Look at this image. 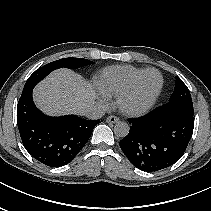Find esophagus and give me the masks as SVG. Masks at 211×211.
<instances>
[{
	"label": "esophagus",
	"instance_id": "1",
	"mask_svg": "<svg viewBox=\"0 0 211 211\" xmlns=\"http://www.w3.org/2000/svg\"><path fill=\"white\" fill-rule=\"evenodd\" d=\"M106 122H108V123H117V122H119V118L116 117V116L111 115V116L107 117Z\"/></svg>",
	"mask_w": 211,
	"mask_h": 211
}]
</instances>
